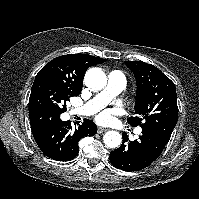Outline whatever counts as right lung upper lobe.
Wrapping results in <instances>:
<instances>
[{"mask_svg":"<svg viewBox=\"0 0 199 199\" xmlns=\"http://www.w3.org/2000/svg\"><path fill=\"white\" fill-rule=\"evenodd\" d=\"M106 61V59L80 53L59 56L48 62L38 72L35 80H55L81 92L86 70L90 66Z\"/></svg>","mask_w":199,"mask_h":199,"instance_id":"obj_1","label":"right lung upper lobe"}]
</instances>
